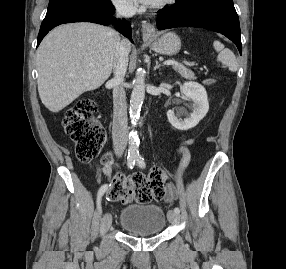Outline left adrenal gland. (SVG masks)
Wrapping results in <instances>:
<instances>
[{"instance_id": "1", "label": "left adrenal gland", "mask_w": 286, "mask_h": 269, "mask_svg": "<svg viewBox=\"0 0 286 269\" xmlns=\"http://www.w3.org/2000/svg\"><path fill=\"white\" fill-rule=\"evenodd\" d=\"M160 67H161V64H159L158 61H155L154 71H156V70L159 69Z\"/></svg>"}]
</instances>
